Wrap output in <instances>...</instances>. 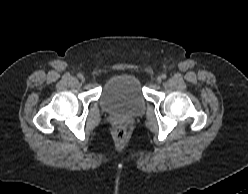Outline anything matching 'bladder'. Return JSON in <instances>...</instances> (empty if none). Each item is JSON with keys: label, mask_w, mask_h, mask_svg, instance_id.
Masks as SVG:
<instances>
[{"label": "bladder", "mask_w": 248, "mask_h": 194, "mask_svg": "<svg viewBox=\"0 0 248 194\" xmlns=\"http://www.w3.org/2000/svg\"><path fill=\"white\" fill-rule=\"evenodd\" d=\"M103 107L111 112L136 115L143 111L146 99L140 79L130 73L112 77L101 94Z\"/></svg>", "instance_id": "31cf9c89"}]
</instances>
